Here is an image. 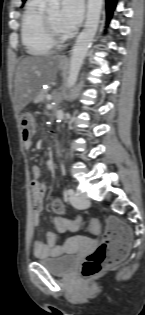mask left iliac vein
<instances>
[{
    "instance_id": "1",
    "label": "left iliac vein",
    "mask_w": 145,
    "mask_h": 315,
    "mask_svg": "<svg viewBox=\"0 0 145 315\" xmlns=\"http://www.w3.org/2000/svg\"><path fill=\"white\" fill-rule=\"evenodd\" d=\"M70 201L74 207L79 209L87 208L90 204L89 198L86 195L75 193L70 196Z\"/></svg>"
}]
</instances>
